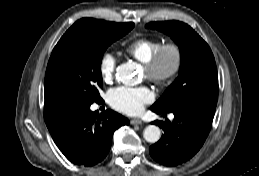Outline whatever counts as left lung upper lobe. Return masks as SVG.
I'll use <instances>...</instances> for the list:
<instances>
[{
    "mask_svg": "<svg viewBox=\"0 0 259 176\" xmlns=\"http://www.w3.org/2000/svg\"><path fill=\"white\" fill-rule=\"evenodd\" d=\"M146 27L168 34L181 52L178 78L152 107L171 112L193 105L215 111L218 73L208 44L189 25L180 21L152 22Z\"/></svg>",
    "mask_w": 259,
    "mask_h": 176,
    "instance_id": "5c2ea615",
    "label": "left lung upper lobe"
}]
</instances>
